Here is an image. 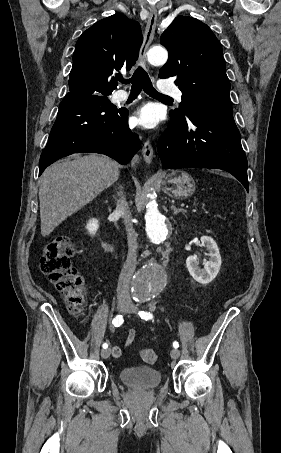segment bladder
Segmentation results:
<instances>
[{
  "mask_svg": "<svg viewBox=\"0 0 281 453\" xmlns=\"http://www.w3.org/2000/svg\"><path fill=\"white\" fill-rule=\"evenodd\" d=\"M119 379L127 386L151 389L161 384V373L151 367H126L119 371Z\"/></svg>",
  "mask_w": 281,
  "mask_h": 453,
  "instance_id": "bladder-1",
  "label": "bladder"
}]
</instances>
